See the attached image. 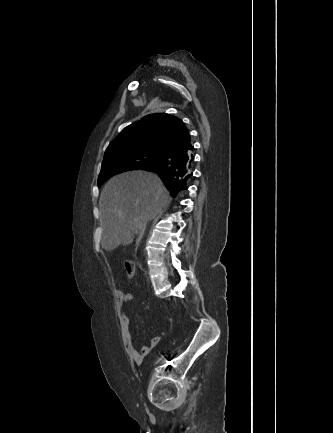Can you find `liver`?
I'll use <instances>...</instances> for the list:
<instances>
[{
    "mask_svg": "<svg viewBox=\"0 0 333 433\" xmlns=\"http://www.w3.org/2000/svg\"><path fill=\"white\" fill-rule=\"evenodd\" d=\"M170 202L169 192L153 173L128 171L110 179L99 201L102 248L112 251L131 244L138 229L134 220L138 219L142 230Z\"/></svg>",
    "mask_w": 333,
    "mask_h": 433,
    "instance_id": "6515ba94",
    "label": "liver"
}]
</instances>
